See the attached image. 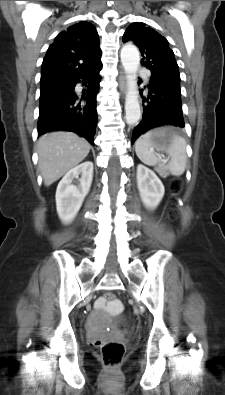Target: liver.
I'll use <instances>...</instances> for the list:
<instances>
[{"label": "liver", "mask_w": 225, "mask_h": 395, "mask_svg": "<svg viewBox=\"0 0 225 395\" xmlns=\"http://www.w3.org/2000/svg\"><path fill=\"white\" fill-rule=\"evenodd\" d=\"M90 144L73 132H52L40 137L37 144L38 168L44 185L50 186L82 162Z\"/></svg>", "instance_id": "obj_1"}]
</instances>
